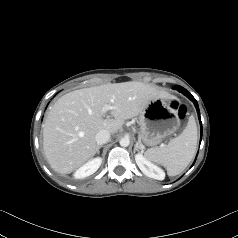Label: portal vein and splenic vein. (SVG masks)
I'll use <instances>...</instances> for the list:
<instances>
[{
	"instance_id": "18ae733b",
	"label": "portal vein and splenic vein",
	"mask_w": 238,
	"mask_h": 238,
	"mask_svg": "<svg viewBox=\"0 0 238 238\" xmlns=\"http://www.w3.org/2000/svg\"><path fill=\"white\" fill-rule=\"evenodd\" d=\"M110 109H112L111 106H107V107H105V111H108V110H110Z\"/></svg>"
}]
</instances>
